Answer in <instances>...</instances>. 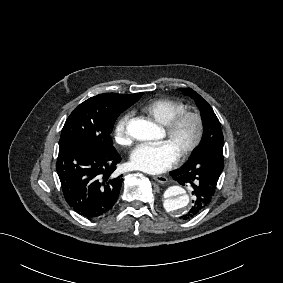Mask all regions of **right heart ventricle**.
Instances as JSON below:
<instances>
[{
	"label": "right heart ventricle",
	"mask_w": 283,
	"mask_h": 283,
	"mask_svg": "<svg viewBox=\"0 0 283 283\" xmlns=\"http://www.w3.org/2000/svg\"><path fill=\"white\" fill-rule=\"evenodd\" d=\"M186 104L176 98L162 97L153 99L140 107L141 112L165 126L175 115L185 111Z\"/></svg>",
	"instance_id": "e07e8e85"
}]
</instances>
